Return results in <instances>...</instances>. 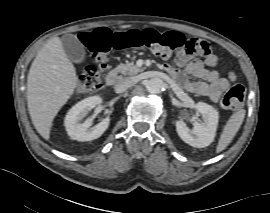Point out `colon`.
<instances>
[{
  "mask_svg": "<svg viewBox=\"0 0 270 213\" xmlns=\"http://www.w3.org/2000/svg\"><path fill=\"white\" fill-rule=\"evenodd\" d=\"M88 52L91 63L84 67L78 76V91L91 93L104 86V75L108 69L107 53L110 50H122L128 47H146L155 55L167 58L174 53L197 55L206 52V43L197 38H185L174 31H156L154 29L130 30L111 33L100 27L92 32H85L80 37ZM230 80L235 74H228ZM245 89L240 84L233 85L223 95L221 106L224 109H239L244 100Z\"/></svg>",
  "mask_w": 270,
  "mask_h": 213,
  "instance_id": "1",
  "label": "colon"
}]
</instances>
